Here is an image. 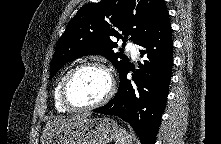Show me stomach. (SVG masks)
<instances>
[{
	"label": "stomach",
	"instance_id": "0dacf381",
	"mask_svg": "<svg viewBox=\"0 0 221 144\" xmlns=\"http://www.w3.org/2000/svg\"><path fill=\"white\" fill-rule=\"evenodd\" d=\"M118 133L117 123L110 118H86L57 131L45 144H108Z\"/></svg>",
	"mask_w": 221,
	"mask_h": 144
}]
</instances>
